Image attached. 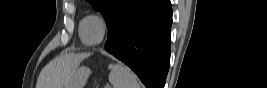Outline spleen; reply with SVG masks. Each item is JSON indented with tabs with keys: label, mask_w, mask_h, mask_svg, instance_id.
<instances>
[{
	"label": "spleen",
	"mask_w": 267,
	"mask_h": 88,
	"mask_svg": "<svg viewBox=\"0 0 267 88\" xmlns=\"http://www.w3.org/2000/svg\"><path fill=\"white\" fill-rule=\"evenodd\" d=\"M108 79L113 88H141L136 75L129 69V67L121 64H110Z\"/></svg>",
	"instance_id": "spleen-1"
}]
</instances>
